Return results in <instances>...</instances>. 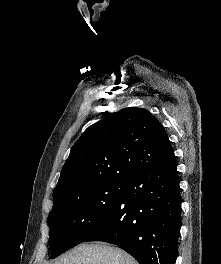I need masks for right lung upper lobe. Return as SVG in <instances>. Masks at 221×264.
I'll return each mask as SVG.
<instances>
[{"label": "right lung upper lobe", "mask_w": 221, "mask_h": 264, "mask_svg": "<svg viewBox=\"0 0 221 264\" xmlns=\"http://www.w3.org/2000/svg\"><path fill=\"white\" fill-rule=\"evenodd\" d=\"M173 148L146 109L125 108L90 126L77 140L53 191V208L69 196L167 163Z\"/></svg>", "instance_id": "right-lung-upper-lobe-1"}]
</instances>
